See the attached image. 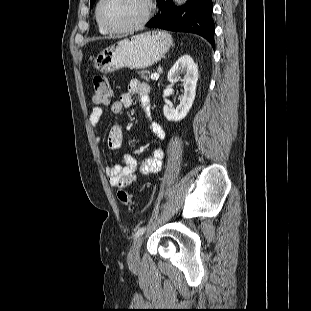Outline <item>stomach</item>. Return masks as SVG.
Returning a JSON list of instances; mask_svg holds the SVG:
<instances>
[{"label": "stomach", "mask_w": 311, "mask_h": 311, "mask_svg": "<svg viewBox=\"0 0 311 311\" xmlns=\"http://www.w3.org/2000/svg\"><path fill=\"white\" fill-rule=\"evenodd\" d=\"M171 46L172 37L164 31L141 33L104 49L94 59V67L102 73L144 69L161 60Z\"/></svg>", "instance_id": "stomach-1"}]
</instances>
